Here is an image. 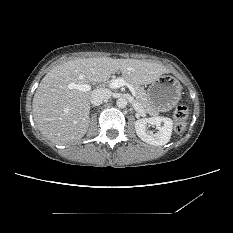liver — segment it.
<instances>
[{
    "label": "liver",
    "instance_id": "1",
    "mask_svg": "<svg viewBox=\"0 0 233 233\" xmlns=\"http://www.w3.org/2000/svg\"><path fill=\"white\" fill-rule=\"evenodd\" d=\"M118 71L141 85L168 73L159 63L129 58H77L58 65L44 76L33 98V117L41 134L62 145L80 140L89 127L92 92L68 85L103 82Z\"/></svg>",
    "mask_w": 233,
    "mask_h": 233
}]
</instances>
